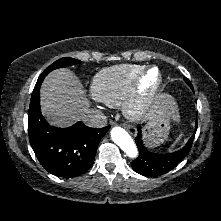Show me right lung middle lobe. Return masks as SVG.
I'll use <instances>...</instances> for the list:
<instances>
[{
  "instance_id": "1",
  "label": "right lung middle lobe",
  "mask_w": 221,
  "mask_h": 221,
  "mask_svg": "<svg viewBox=\"0 0 221 221\" xmlns=\"http://www.w3.org/2000/svg\"><path fill=\"white\" fill-rule=\"evenodd\" d=\"M78 63H80V61L73 59V58H68V57L61 58V59L55 61L53 64H51L46 70H44V72L38 78L37 82L41 83L43 81V79L47 76V74L54 69L61 68V67H67V66H71L74 64H78Z\"/></svg>"
}]
</instances>
